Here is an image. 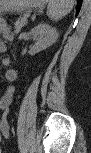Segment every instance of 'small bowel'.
Listing matches in <instances>:
<instances>
[{"label": "small bowel", "instance_id": "c3829d8e", "mask_svg": "<svg viewBox=\"0 0 91 153\" xmlns=\"http://www.w3.org/2000/svg\"><path fill=\"white\" fill-rule=\"evenodd\" d=\"M13 100V90H7L0 99V108L3 116L0 120V131L3 137L8 138L10 135V126L7 121V113L10 109Z\"/></svg>", "mask_w": 91, "mask_h": 153}]
</instances>
